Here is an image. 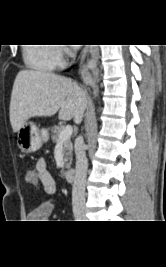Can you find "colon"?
I'll return each instance as SVG.
<instances>
[{
	"instance_id": "5ec220e1",
	"label": "colon",
	"mask_w": 166,
	"mask_h": 267,
	"mask_svg": "<svg viewBox=\"0 0 166 267\" xmlns=\"http://www.w3.org/2000/svg\"><path fill=\"white\" fill-rule=\"evenodd\" d=\"M23 174H25V182H28V185H41V180H38V172L34 169H23Z\"/></svg>"
}]
</instances>
